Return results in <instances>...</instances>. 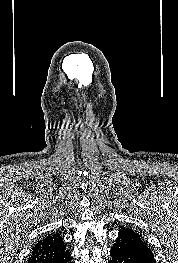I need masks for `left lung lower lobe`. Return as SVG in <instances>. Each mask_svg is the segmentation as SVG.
I'll return each instance as SVG.
<instances>
[{
    "instance_id": "left-lung-lower-lobe-1",
    "label": "left lung lower lobe",
    "mask_w": 178,
    "mask_h": 263,
    "mask_svg": "<svg viewBox=\"0 0 178 263\" xmlns=\"http://www.w3.org/2000/svg\"><path fill=\"white\" fill-rule=\"evenodd\" d=\"M109 263H156L154 256L140 235L123 228L110 250Z\"/></svg>"
}]
</instances>
